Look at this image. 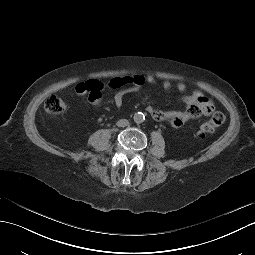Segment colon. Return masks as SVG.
<instances>
[{"instance_id":"1","label":"colon","mask_w":255,"mask_h":255,"mask_svg":"<svg viewBox=\"0 0 255 255\" xmlns=\"http://www.w3.org/2000/svg\"><path fill=\"white\" fill-rule=\"evenodd\" d=\"M67 108L66 102L58 96H50L45 102V110L47 113L56 115L63 113ZM225 122V115L221 112H215L211 118L200 124L198 135L205 136L213 133L219 126Z\"/></svg>"}]
</instances>
